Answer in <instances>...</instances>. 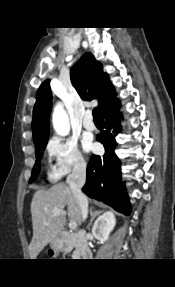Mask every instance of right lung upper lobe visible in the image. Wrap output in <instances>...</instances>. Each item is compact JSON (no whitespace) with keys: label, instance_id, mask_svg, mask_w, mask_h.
Here are the masks:
<instances>
[{"label":"right lung upper lobe","instance_id":"1","mask_svg":"<svg viewBox=\"0 0 175 287\" xmlns=\"http://www.w3.org/2000/svg\"><path fill=\"white\" fill-rule=\"evenodd\" d=\"M71 80L81 98L98 99L100 114L119 102L102 64L90 53L84 54L72 68ZM49 83L50 80L43 82L37 92L32 121L34 143L48 138L52 99Z\"/></svg>","mask_w":175,"mask_h":287}]
</instances>
